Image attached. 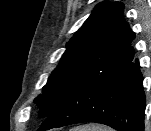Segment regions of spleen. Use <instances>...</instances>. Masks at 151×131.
<instances>
[{"label":"spleen","instance_id":"3e777b00","mask_svg":"<svg viewBox=\"0 0 151 131\" xmlns=\"http://www.w3.org/2000/svg\"><path fill=\"white\" fill-rule=\"evenodd\" d=\"M71 131H113L112 129L100 125H83L72 129Z\"/></svg>","mask_w":151,"mask_h":131}]
</instances>
